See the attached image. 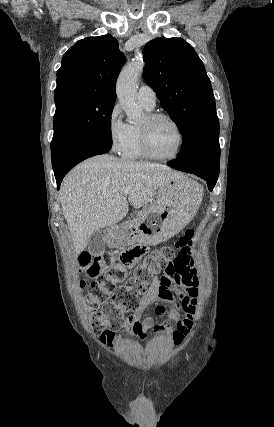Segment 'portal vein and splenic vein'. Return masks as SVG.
<instances>
[{"mask_svg": "<svg viewBox=\"0 0 274 427\" xmlns=\"http://www.w3.org/2000/svg\"><path fill=\"white\" fill-rule=\"evenodd\" d=\"M120 194H122V196H127V194H129V190H121Z\"/></svg>", "mask_w": 274, "mask_h": 427, "instance_id": "obj_1", "label": "portal vein and splenic vein"}]
</instances>
